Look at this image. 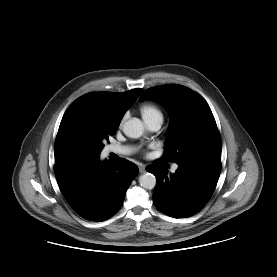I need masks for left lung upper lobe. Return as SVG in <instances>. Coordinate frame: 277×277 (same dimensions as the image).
Instances as JSON below:
<instances>
[{"instance_id": "1", "label": "left lung upper lobe", "mask_w": 277, "mask_h": 277, "mask_svg": "<svg viewBox=\"0 0 277 277\" xmlns=\"http://www.w3.org/2000/svg\"><path fill=\"white\" fill-rule=\"evenodd\" d=\"M141 98L159 102L170 111V134L164 145L166 158L179 163L200 155H221L215 119L197 92L181 85H163L146 90Z\"/></svg>"}]
</instances>
